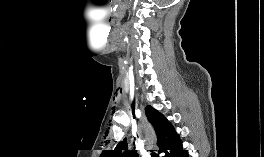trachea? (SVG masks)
I'll list each match as a JSON object with an SVG mask.
<instances>
[{"mask_svg": "<svg viewBox=\"0 0 264 157\" xmlns=\"http://www.w3.org/2000/svg\"><path fill=\"white\" fill-rule=\"evenodd\" d=\"M152 157H158L156 153H152Z\"/></svg>", "mask_w": 264, "mask_h": 157, "instance_id": "trachea-1", "label": "trachea"}]
</instances>
